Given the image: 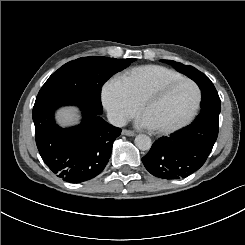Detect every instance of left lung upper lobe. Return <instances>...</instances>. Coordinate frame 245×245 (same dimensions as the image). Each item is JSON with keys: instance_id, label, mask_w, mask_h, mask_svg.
<instances>
[{"instance_id": "left-lung-upper-lobe-1", "label": "left lung upper lobe", "mask_w": 245, "mask_h": 245, "mask_svg": "<svg viewBox=\"0 0 245 245\" xmlns=\"http://www.w3.org/2000/svg\"><path fill=\"white\" fill-rule=\"evenodd\" d=\"M164 63L172 65L179 72L184 73L186 76L194 80L196 83L208 78L205 74L194 68L193 66L183 65L182 63L171 61V60H161Z\"/></svg>"}]
</instances>
